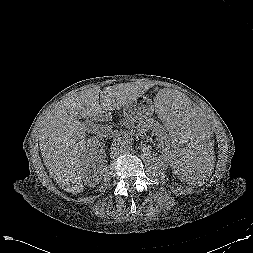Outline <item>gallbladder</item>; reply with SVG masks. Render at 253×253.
I'll return each mask as SVG.
<instances>
[{"label":"gallbladder","mask_w":253,"mask_h":253,"mask_svg":"<svg viewBox=\"0 0 253 253\" xmlns=\"http://www.w3.org/2000/svg\"><path fill=\"white\" fill-rule=\"evenodd\" d=\"M84 123L86 125L87 130H90L91 129V122L89 120H86Z\"/></svg>","instance_id":"obj_1"}]
</instances>
